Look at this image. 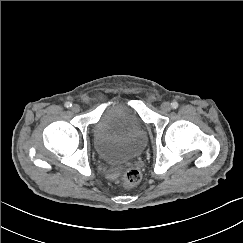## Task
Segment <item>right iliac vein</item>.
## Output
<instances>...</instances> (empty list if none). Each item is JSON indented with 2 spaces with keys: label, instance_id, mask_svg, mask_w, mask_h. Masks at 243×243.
<instances>
[{
  "label": "right iliac vein",
  "instance_id": "right-iliac-vein-1",
  "mask_svg": "<svg viewBox=\"0 0 243 243\" xmlns=\"http://www.w3.org/2000/svg\"><path fill=\"white\" fill-rule=\"evenodd\" d=\"M71 109L74 113H78L81 108L78 104H74Z\"/></svg>",
  "mask_w": 243,
  "mask_h": 243
}]
</instances>
